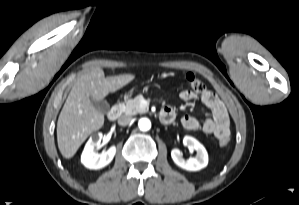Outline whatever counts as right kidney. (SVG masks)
<instances>
[{
  "instance_id": "obj_1",
  "label": "right kidney",
  "mask_w": 299,
  "mask_h": 205,
  "mask_svg": "<svg viewBox=\"0 0 299 205\" xmlns=\"http://www.w3.org/2000/svg\"><path fill=\"white\" fill-rule=\"evenodd\" d=\"M102 133L93 135L86 143L81 154V162L88 169H101L107 166L116 154V147L111 146L107 151L96 153L94 147L99 145Z\"/></svg>"
}]
</instances>
